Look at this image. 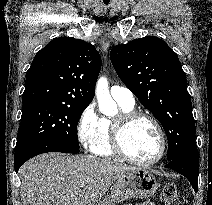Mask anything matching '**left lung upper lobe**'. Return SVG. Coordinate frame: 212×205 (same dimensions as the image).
I'll return each instance as SVG.
<instances>
[{
	"label": "left lung upper lobe",
	"instance_id": "left-lung-upper-lobe-1",
	"mask_svg": "<svg viewBox=\"0 0 212 205\" xmlns=\"http://www.w3.org/2000/svg\"><path fill=\"white\" fill-rule=\"evenodd\" d=\"M110 58L120 79L163 126L168 159L198 152L186 75L177 54L162 39L147 36L114 46Z\"/></svg>",
	"mask_w": 212,
	"mask_h": 205
}]
</instances>
